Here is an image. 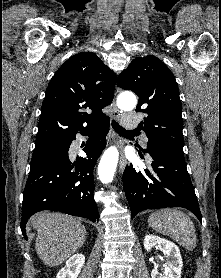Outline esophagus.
Instances as JSON below:
<instances>
[{"label":"esophagus","instance_id":"esophagus-1","mask_svg":"<svg viewBox=\"0 0 221 278\" xmlns=\"http://www.w3.org/2000/svg\"><path fill=\"white\" fill-rule=\"evenodd\" d=\"M111 106H112V112H111L112 117L117 118L119 116V109L117 108V106L115 104V101L112 102ZM126 164H127V160H126V157L124 155V151L121 147V149H120V160H119V169H120L121 172L124 170Z\"/></svg>","mask_w":221,"mask_h":278}]
</instances>
